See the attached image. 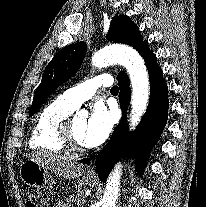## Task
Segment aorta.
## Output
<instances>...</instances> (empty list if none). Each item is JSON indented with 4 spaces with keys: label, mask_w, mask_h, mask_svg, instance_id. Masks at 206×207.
Returning <instances> with one entry per match:
<instances>
[{
    "label": "aorta",
    "mask_w": 206,
    "mask_h": 207,
    "mask_svg": "<svg viewBox=\"0 0 206 207\" xmlns=\"http://www.w3.org/2000/svg\"><path fill=\"white\" fill-rule=\"evenodd\" d=\"M110 64L123 65L130 77L132 86L130 129H134L146 111L149 100V77L139 53L127 46H109L96 52L92 65L106 67ZM121 167L117 165L111 172L105 188L102 207H115L120 189Z\"/></svg>",
    "instance_id": "1"
}]
</instances>
